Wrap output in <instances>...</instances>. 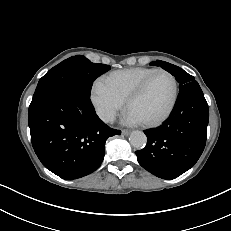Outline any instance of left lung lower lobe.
<instances>
[{
    "label": "left lung lower lobe",
    "mask_w": 231,
    "mask_h": 231,
    "mask_svg": "<svg viewBox=\"0 0 231 231\" xmlns=\"http://www.w3.org/2000/svg\"><path fill=\"white\" fill-rule=\"evenodd\" d=\"M208 120V104L197 81L182 85L170 117L144 131L147 145L135 152L139 164L162 179L177 178L201 156Z\"/></svg>",
    "instance_id": "0a47b994"
}]
</instances>
